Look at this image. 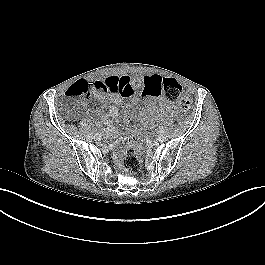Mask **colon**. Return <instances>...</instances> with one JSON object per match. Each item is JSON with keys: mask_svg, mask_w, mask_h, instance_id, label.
<instances>
[{"mask_svg": "<svg viewBox=\"0 0 265 265\" xmlns=\"http://www.w3.org/2000/svg\"><path fill=\"white\" fill-rule=\"evenodd\" d=\"M94 86H99L95 85ZM152 94L154 96L163 95L170 103H177L183 110H188L191 101L182 93V87L179 82L171 77H164L161 80L154 79L152 81ZM91 89V83L87 81H78L70 86L67 95L73 98H81L87 96ZM127 122L130 127H134L133 117H128ZM123 167L129 174H135L141 167L140 148L138 146V133H133L128 141L127 149L123 158Z\"/></svg>", "mask_w": 265, "mask_h": 265, "instance_id": "5ec220e1", "label": "colon"}]
</instances>
